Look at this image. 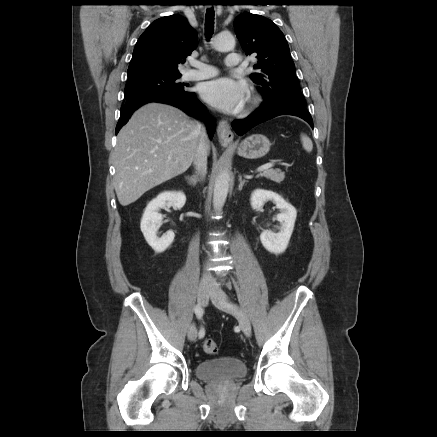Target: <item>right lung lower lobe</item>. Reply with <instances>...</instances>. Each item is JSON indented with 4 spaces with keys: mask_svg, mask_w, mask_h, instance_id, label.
<instances>
[{
    "mask_svg": "<svg viewBox=\"0 0 437 437\" xmlns=\"http://www.w3.org/2000/svg\"><path fill=\"white\" fill-rule=\"evenodd\" d=\"M149 102H159L175 106L188 115L199 119H205L210 138L216 129L215 122L206 115L205 106L197 99L193 92L186 93H157L126 101L120 109V118L116 126V134L124 126L132 113L140 106Z\"/></svg>",
    "mask_w": 437,
    "mask_h": 437,
    "instance_id": "1",
    "label": "right lung lower lobe"
}]
</instances>
